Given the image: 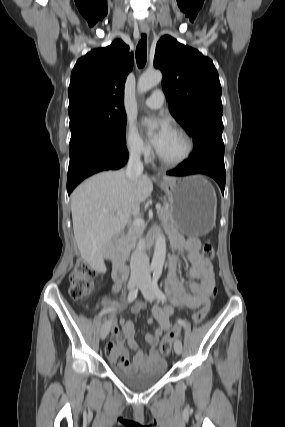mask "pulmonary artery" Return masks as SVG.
Segmentation results:
<instances>
[{
  "mask_svg": "<svg viewBox=\"0 0 285 427\" xmlns=\"http://www.w3.org/2000/svg\"><path fill=\"white\" fill-rule=\"evenodd\" d=\"M164 94L161 90H155L152 94L145 99L144 105L151 109H159L164 104Z\"/></svg>",
  "mask_w": 285,
  "mask_h": 427,
  "instance_id": "pulmonary-artery-1",
  "label": "pulmonary artery"
}]
</instances>
